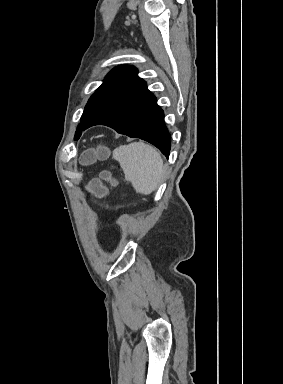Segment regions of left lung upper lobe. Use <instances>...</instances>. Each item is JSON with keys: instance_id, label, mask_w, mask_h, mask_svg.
I'll list each match as a JSON object with an SVG mask.
<instances>
[{"instance_id": "left-lung-upper-lobe-1", "label": "left lung upper lobe", "mask_w": 283, "mask_h": 384, "mask_svg": "<svg viewBox=\"0 0 283 384\" xmlns=\"http://www.w3.org/2000/svg\"><path fill=\"white\" fill-rule=\"evenodd\" d=\"M133 66L123 65L114 68L105 78L104 83L89 99L81 116L75 140L79 139L85 127L120 102L129 92L142 84Z\"/></svg>"}]
</instances>
